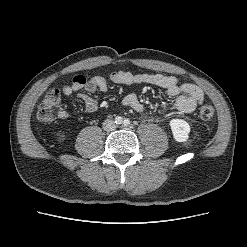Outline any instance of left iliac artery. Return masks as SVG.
Wrapping results in <instances>:
<instances>
[{"label": "left iliac artery", "mask_w": 247, "mask_h": 247, "mask_svg": "<svg viewBox=\"0 0 247 247\" xmlns=\"http://www.w3.org/2000/svg\"><path fill=\"white\" fill-rule=\"evenodd\" d=\"M123 124H124L125 126H128V125L130 124V120L127 119V118L124 119Z\"/></svg>", "instance_id": "1"}]
</instances>
